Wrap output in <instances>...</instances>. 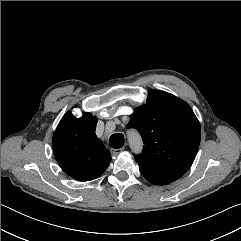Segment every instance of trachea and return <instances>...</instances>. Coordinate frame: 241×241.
<instances>
[{
    "label": "trachea",
    "instance_id": "obj_1",
    "mask_svg": "<svg viewBox=\"0 0 241 241\" xmlns=\"http://www.w3.org/2000/svg\"><path fill=\"white\" fill-rule=\"evenodd\" d=\"M109 144L112 148H121L124 145V136L121 133H115L110 137Z\"/></svg>",
    "mask_w": 241,
    "mask_h": 241
}]
</instances>
